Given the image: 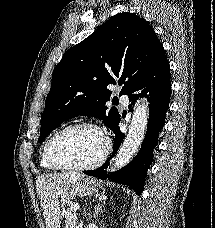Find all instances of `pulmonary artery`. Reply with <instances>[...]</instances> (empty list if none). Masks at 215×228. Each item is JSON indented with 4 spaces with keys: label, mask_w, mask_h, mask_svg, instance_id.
Returning <instances> with one entry per match:
<instances>
[{
    "label": "pulmonary artery",
    "mask_w": 215,
    "mask_h": 228,
    "mask_svg": "<svg viewBox=\"0 0 215 228\" xmlns=\"http://www.w3.org/2000/svg\"><path fill=\"white\" fill-rule=\"evenodd\" d=\"M114 93L118 94L116 91H114ZM118 102H123L124 104H127L128 102H131V97L123 95L122 97H118ZM122 109L123 110H128L129 106L128 105H123Z\"/></svg>",
    "instance_id": "e3ab8cb5"
}]
</instances>
